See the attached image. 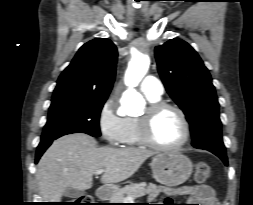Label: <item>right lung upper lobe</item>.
Listing matches in <instances>:
<instances>
[{
	"mask_svg": "<svg viewBox=\"0 0 253 205\" xmlns=\"http://www.w3.org/2000/svg\"><path fill=\"white\" fill-rule=\"evenodd\" d=\"M116 46L106 38L84 44L60 75L52 100L107 98L115 79Z\"/></svg>",
	"mask_w": 253,
	"mask_h": 205,
	"instance_id": "obj_1",
	"label": "right lung upper lobe"
}]
</instances>
